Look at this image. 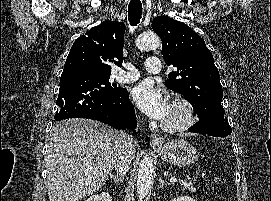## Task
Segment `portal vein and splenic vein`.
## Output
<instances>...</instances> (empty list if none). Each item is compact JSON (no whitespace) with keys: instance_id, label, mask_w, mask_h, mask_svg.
<instances>
[{"instance_id":"obj_1","label":"portal vein and splenic vein","mask_w":271,"mask_h":201,"mask_svg":"<svg viewBox=\"0 0 271 201\" xmlns=\"http://www.w3.org/2000/svg\"><path fill=\"white\" fill-rule=\"evenodd\" d=\"M169 181H170V182H177V181H178V178L173 177V178H170Z\"/></svg>"}]
</instances>
